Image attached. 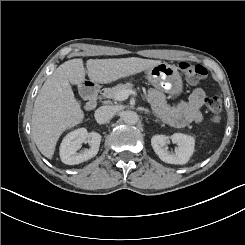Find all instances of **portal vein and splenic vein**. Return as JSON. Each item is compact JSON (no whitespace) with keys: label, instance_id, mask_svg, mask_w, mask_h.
Segmentation results:
<instances>
[{"label":"portal vein and splenic vein","instance_id":"1","mask_svg":"<svg viewBox=\"0 0 245 245\" xmlns=\"http://www.w3.org/2000/svg\"><path fill=\"white\" fill-rule=\"evenodd\" d=\"M135 95L136 92L134 90H121L119 91L117 94H116V97H115V100H118V101H124L126 100L129 95Z\"/></svg>","mask_w":245,"mask_h":245}]
</instances>
